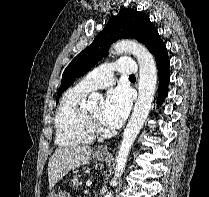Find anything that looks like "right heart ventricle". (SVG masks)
Masks as SVG:
<instances>
[{
  "mask_svg": "<svg viewBox=\"0 0 209 197\" xmlns=\"http://www.w3.org/2000/svg\"><path fill=\"white\" fill-rule=\"evenodd\" d=\"M88 90L76 85L65 92L55 115L56 143L74 147L92 141L85 117V99Z\"/></svg>",
  "mask_w": 209,
  "mask_h": 197,
  "instance_id": "right-heart-ventricle-1",
  "label": "right heart ventricle"
}]
</instances>
